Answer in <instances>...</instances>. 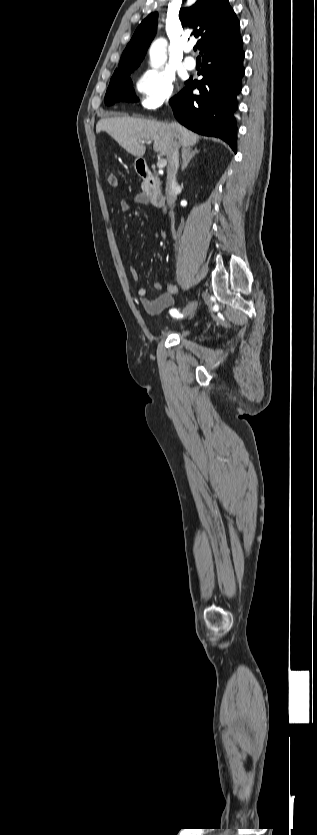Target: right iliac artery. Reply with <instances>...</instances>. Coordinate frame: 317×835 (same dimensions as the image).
I'll list each match as a JSON object with an SVG mask.
<instances>
[{"label": "right iliac artery", "instance_id": "obj_1", "mask_svg": "<svg viewBox=\"0 0 317 835\" xmlns=\"http://www.w3.org/2000/svg\"><path fill=\"white\" fill-rule=\"evenodd\" d=\"M170 314H171L173 317H183V314H180V313H179V311H178L177 309H171V310H170Z\"/></svg>", "mask_w": 317, "mask_h": 835}]
</instances>
